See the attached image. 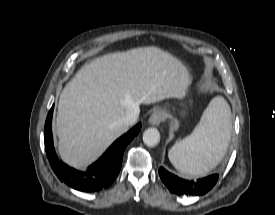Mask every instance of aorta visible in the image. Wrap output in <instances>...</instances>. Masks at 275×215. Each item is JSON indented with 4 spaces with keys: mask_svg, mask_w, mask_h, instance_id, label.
I'll list each match as a JSON object with an SVG mask.
<instances>
[{
    "mask_svg": "<svg viewBox=\"0 0 275 215\" xmlns=\"http://www.w3.org/2000/svg\"><path fill=\"white\" fill-rule=\"evenodd\" d=\"M143 141L147 146H156L160 141V133L156 128H148L143 133Z\"/></svg>",
    "mask_w": 275,
    "mask_h": 215,
    "instance_id": "1",
    "label": "aorta"
}]
</instances>
